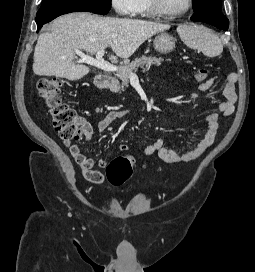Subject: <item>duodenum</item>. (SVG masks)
<instances>
[{
    "label": "duodenum",
    "mask_w": 255,
    "mask_h": 272,
    "mask_svg": "<svg viewBox=\"0 0 255 272\" xmlns=\"http://www.w3.org/2000/svg\"><path fill=\"white\" fill-rule=\"evenodd\" d=\"M114 81V77L108 74H98L95 79L96 87L103 91L107 89Z\"/></svg>",
    "instance_id": "1"
}]
</instances>
